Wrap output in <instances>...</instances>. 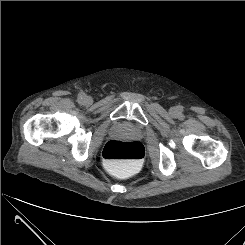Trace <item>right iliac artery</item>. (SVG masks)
Returning a JSON list of instances; mask_svg holds the SVG:
<instances>
[{
  "instance_id": "82829eb1",
  "label": "right iliac artery",
  "mask_w": 245,
  "mask_h": 245,
  "mask_svg": "<svg viewBox=\"0 0 245 245\" xmlns=\"http://www.w3.org/2000/svg\"><path fill=\"white\" fill-rule=\"evenodd\" d=\"M84 97H85L84 94L83 93H80L79 96H78V100L80 102H82L84 100Z\"/></svg>"
}]
</instances>
